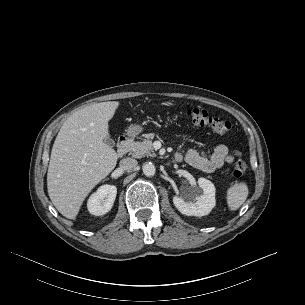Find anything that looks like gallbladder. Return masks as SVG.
I'll return each mask as SVG.
<instances>
[{"mask_svg":"<svg viewBox=\"0 0 305 305\" xmlns=\"http://www.w3.org/2000/svg\"><path fill=\"white\" fill-rule=\"evenodd\" d=\"M104 142L109 145L110 147H114L115 146V141L110 138L109 136H107L105 139H104Z\"/></svg>","mask_w":305,"mask_h":305,"instance_id":"bac80fb5","label":"gallbladder"}]
</instances>
